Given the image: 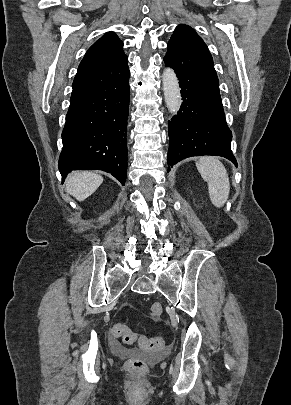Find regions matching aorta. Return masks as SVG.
Wrapping results in <instances>:
<instances>
[{
	"mask_svg": "<svg viewBox=\"0 0 291 405\" xmlns=\"http://www.w3.org/2000/svg\"><path fill=\"white\" fill-rule=\"evenodd\" d=\"M163 92L168 111L175 115L178 113L182 100L177 76L174 70L167 67L162 75Z\"/></svg>",
	"mask_w": 291,
	"mask_h": 405,
	"instance_id": "762f6f07",
	"label": "aorta"
}]
</instances>
